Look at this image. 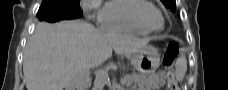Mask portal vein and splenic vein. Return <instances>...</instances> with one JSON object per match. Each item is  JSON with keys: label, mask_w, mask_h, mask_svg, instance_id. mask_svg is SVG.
I'll return each mask as SVG.
<instances>
[{"label": "portal vein and splenic vein", "mask_w": 228, "mask_h": 90, "mask_svg": "<svg viewBox=\"0 0 228 90\" xmlns=\"http://www.w3.org/2000/svg\"><path fill=\"white\" fill-rule=\"evenodd\" d=\"M121 83H122V84H125V83H126V80H125V79H122V80H121Z\"/></svg>", "instance_id": "obj_1"}]
</instances>
